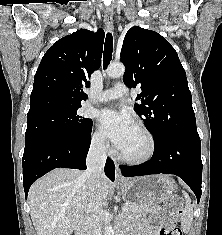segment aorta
Wrapping results in <instances>:
<instances>
[{"label": "aorta", "mask_w": 222, "mask_h": 235, "mask_svg": "<svg viewBox=\"0 0 222 235\" xmlns=\"http://www.w3.org/2000/svg\"><path fill=\"white\" fill-rule=\"evenodd\" d=\"M125 73V66L122 63H112L107 68V75L112 78L123 76ZM105 235H115L114 229L111 225L106 226Z\"/></svg>", "instance_id": "obj_1"}]
</instances>
